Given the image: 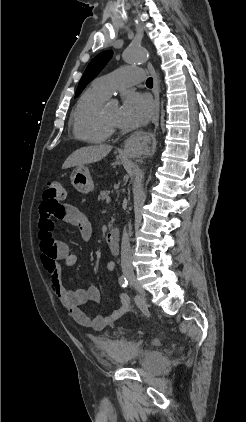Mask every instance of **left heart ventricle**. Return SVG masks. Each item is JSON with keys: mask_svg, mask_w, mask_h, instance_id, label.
<instances>
[{"mask_svg": "<svg viewBox=\"0 0 246 422\" xmlns=\"http://www.w3.org/2000/svg\"><path fill=\"white\" fill-rule=\"evenodd\" d=\"M119 112H120V108L116 105H110L105 108V116L110 122L114 124L118 123Z\"/></svg>", "mask_w": 246, "mask_h": 422, "instance_id": "obj_1", "label": "left heart ventricle"}]
</instances>
